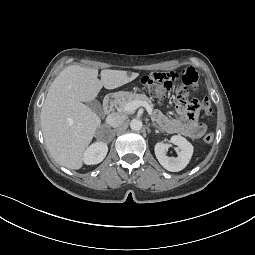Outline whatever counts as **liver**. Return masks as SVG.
Here are the masks:
<instances>
[{
  "mask_svg": "<svg viewBox=\"0 0 255 255\" xmlns=\"http://www.w3.org/2000/svg\"><path fill=\"white\" fill-rule=\"evenodd\" d=\"M98 70L79 65L63 69L51 84L41 109V128L52 158L68 169H80L101 119L85 103L102 87L115 89L139 76L124 70Z\"/></svg>",
  "mask_w": 255,
  "mask_h": 255,
  "instance_id": "obj_1",
  "label": "liver"
}]
</instances>
